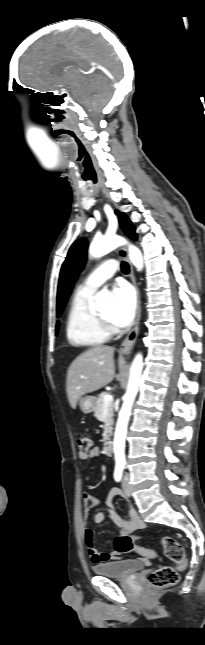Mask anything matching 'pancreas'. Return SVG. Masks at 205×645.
I'll use <instances>...</instances> for the list:
<instances>
[{"instance_id": "cf45deb5", "label": "pancreas", "mask_w": 205, "mask_h": 645, "mask_svg": "<svg viewBox=\"0 0 205 645\" xmlns=\"http://www.w3.org/2000/svg\"><path fill=\"white\" fill-rule=\"evenodd\" d=\"M106 395V392H102L101 394L98 395L96 399V406L94 409L95 412V417L99 420H103V411H104V396ZM113 403H109L107 406V415L105 418L106 425L104 427V433H103V441H107L110 439V436L112 434V426H113Z\"/></svg>"}]
</instances>
